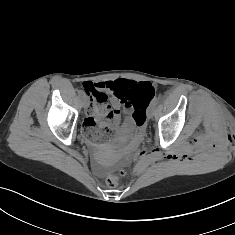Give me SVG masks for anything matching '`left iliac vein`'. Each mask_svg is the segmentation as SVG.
Segmentation results:
<instances>
[{"label": "left iliac vein", "instance_id": "left-iliac-vein-1", "mask_svg": "<svg viewBox=\"0 0 235 235\" xmlns=\"http://www.w3.org/2000/svg\"><path fill=\"white\" fill-rule=\"evenodd\" d=\"M152 115H153V113H152V112H150V113H149V116H150V117H152Z\"/></svg>", "mask_w": 235, "mask_h": 235}]
</instances>
